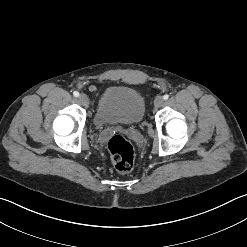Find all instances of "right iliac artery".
<instances>
[{
	"instance_id": "82829eb1",
	"label": "right iliac artery",
	"mask_w": 247,
	"mask_h": 247,
	"mask_svg": "<svg viewBox=\"0 0 247 247\" xmlns=\"http://www.w3.org/2000/svg\"><path fill=\"white\" fill-rule=\"evenodd\" d=\"M73 95H74L75 97H79V92L74 91V92H73Z\"/></svg>"
}]
</instances>
